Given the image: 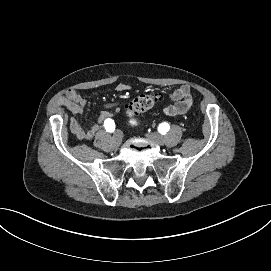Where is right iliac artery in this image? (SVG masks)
Returning a JSON list of instances; mask_svg holds the SVG:
<instances>
[{
  "label": "right iliac artery",
  "mask_w": 271,
  "mask_h": 271,
  "mask_svg": "<svg viewBox=\"0 0 271 271\" xmlns=\"http://www.w3.org/2000/svg\"><path fill=\"white\" fill-rule=\"evenodd\" d=\"M104 127H105V129H106L107 132L112 133L115 130V123H114V121L111 118H107L104 121Z\"/></svg>",
  "instance_id": "obj_1"
}]
</instances>
